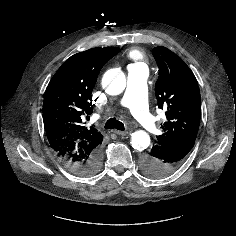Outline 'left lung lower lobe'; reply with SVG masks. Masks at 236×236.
<instances>
[{"label": "left lung lower lobe", "instance_id": "left-lung-lower-lobe-1", "mask_svg": "<svg viewBox=\"0 0 236 236\" xmlns=\"http://www.w3.org/2000/svg\"><path fill=\"white\" fill-rule=\"evenodd\" d=\"M190 144L154 145L141 159L143 171L152 178H163L175 172L192 149Z\"/></svg>", "mask_w": 236, "mask_h": 236}]
</instances>
